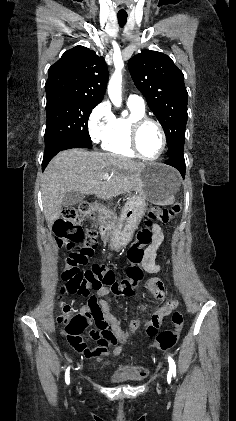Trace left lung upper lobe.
I'll use <instances>...</instances> for the list:
<instances>
[{
  "mask_svg": "<svg viewBox=\"0 0 236 421\" xmlns=\"http://www.w3.org/2000/svg\"><path fill=\"white\" fill-rule=\"evenodd\" d=\"M128 67L136 87L163 127L167 158L184 156L188 93L183 73L170 57L150 50L132 57Z\"/></svg>",
  "mask_w": 236,
  "mask_h": 421,
  "instance_id": "obj_1",
  "label": "left lung upper lobe"
}]
</instances>
